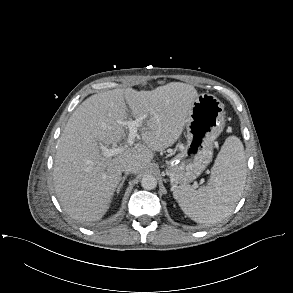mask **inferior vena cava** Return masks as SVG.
<instances>
[{
  "instance_id": "inferior-vena-cava-1",
  "label": "inferior vena cava",
  "mask_w": 293,
  "mask_h": 293,
  "mask_svg": "<svg viewBox=\"0 0 293 293\" xmlns=\"http://www.w3.org/2000/svg\"><path fill=\"white\" fill-rule=\"evenodd\" d=\"M135 167L133 163L127 162L122 166V171L125 172L126 174L128 173H133Z\"/></svg>"
}]
</instances>
